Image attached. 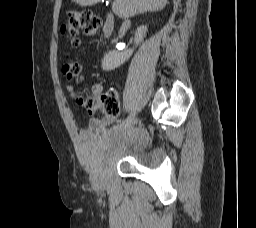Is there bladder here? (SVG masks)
<instances>
[{"mask_svg": "<svg viewBox=\"0 0 256 228\" xmlns=\"http://www.w3.org/2000/svg\"><path fill=\"white\" fill-rule=\"evenodd\" d=\"M145 142L137 132L114 127L101 136H81L80 152L91 172L101 176L118 160L138 153Z\"/></svg>", "mask_w": 256, "mask_h": 228, "instance_id": "31cf9c89", "label": "bladder"}]
</instances>
